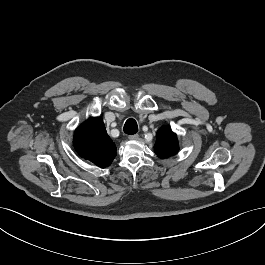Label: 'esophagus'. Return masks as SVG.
I'll return each instance as SVG.
<instances>
[{"label": "esophagus", "mask_w": 265, "mask_h": 265, "mask_svg": "<svg viewBox=\"0 0 265 265\" xmlns=\"http://www.w3.org/2000/svg\"><path fill=\"white\" fill-rule=\"evenodd\" d=\"M139 138V135L138 134H133V135H130L129 136V139L130 140H137Z\"/></svg>", "instance_id": "esophagus-1"}]
</instances>
